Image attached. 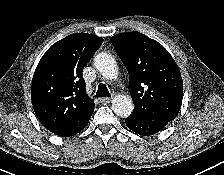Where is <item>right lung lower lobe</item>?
I'll return each mask as SVG.
<instances>
[{
	"mask_svg": "<svg viewBox=\"0 0 224 175\" xmlns=\"http://www.w3.org/2000/svg\"><path fill=\"white\" fill-rule=\"evenodd\" d=\"M90 117L85 119L82 122H79V123L67 128V129L61 131V132H58L56 134L59 135V136H63V137H68V136L75 135L76 133L80 132L82 129H84L86 127V125L89 122Z\"/></svg>",
	"mask_w": 224,
	"mask_h": 175,
	"instance_id": "obj_1",
	"label": "right lung lower lobe"
}]
</instances>
